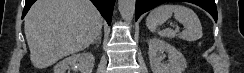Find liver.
Masks as SVG:
<instances>
[{
	"label": "liver",
	"mask_w": 244,
	"mask_h": 73,
	"mask_svg": "<svg viewBox=\"0 0 244 73\" xmlns=\"http://www.w3.org/2000/svg\"><path fill=\"white\" fill-rule=\"evenodd\" d=\"M102 25L89 0H37L24 22L33 66L43 69L86 49L101 34Z\"/></svg>",
	"instance_id": "6515ba94"
}]
</instances>
